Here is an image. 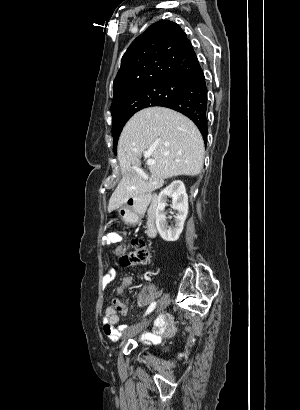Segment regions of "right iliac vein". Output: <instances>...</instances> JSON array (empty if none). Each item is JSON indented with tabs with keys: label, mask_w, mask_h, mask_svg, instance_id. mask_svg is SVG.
<instances>
[{
	"label": "right iliac vein",
	"mask_w": 300,
	"mask_h": 410,
	"mask_svg": "<svg viewBox=\"0 0 300 410\" xmlns=\"http://www.w3.org/2000/svg\"><path fill=\"white\" fill-rule=\"evenodd\" d=\"M168 303H169V296L167 294L163 295L157 305V312L163 311L168 305ZM149 323L150 321H144V322L138 323L137 325L133 326L128 331V334H136V333L141 332L144 328H146L149 325Z\"/></svg>",
	"instance_id": "1"
}]
</instances>
